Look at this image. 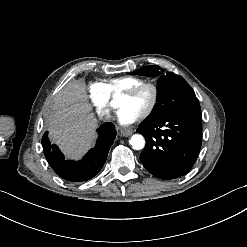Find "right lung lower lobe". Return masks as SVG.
<instances>
[{"label": "right lung lower lobe", "instance_id": "1", "mask_svg": "<svg viewBox=\"0 0 247 247\" xmlns=\"http://www.w3.org/2000/svg\"><path fill=\"white\" fill-rule=\"evenodd\" d=\"M98 139L94 148L90 149L82 160H65L64 155L55 144H51L48 132L42 137L44 155L55 173L71 182L87 181L93 178L103 167L109 149L116 137L115 126L104 123L98 129Z\"/></svg>", "mask_w": 247, "mask_h": 247}]
</instances>
